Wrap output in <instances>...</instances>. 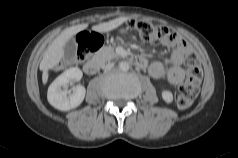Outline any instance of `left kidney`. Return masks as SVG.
<instances>
[{
    "label": "left kidney",
    "instance_id": "obj_1",
    "mask_svg": "<svg viewBox=\"0 0 238 158\" xmlns=\"http://www.w3.org/2000/svg\"><path fill=\"white\" fill-rule=\"evenodd\" d=\"M163 100L167 103L170 104L173 102V94L169 90H164L161 93Z\"/></svg>",
    "mask_w": 238,
    "mask_h": 158
}]
</instances>
